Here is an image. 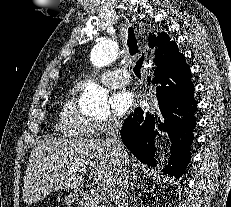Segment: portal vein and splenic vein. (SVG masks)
<instances>
[{"mask_svg":"<svg viewBox=\"0 0 231 207\" xmlns=\"http://www.w3.org/2000/svg\"><path fill=\"white\" fill-rule=\"evenodd\" d=\"M96 198L102 200L104 197V192L102 190L95 191Z\"/></svg>","mask_w":231,"mask_h":207,"instance_id":"obj_1","label":"portal vein and splenic vein"}]
</instances>
